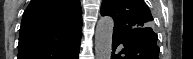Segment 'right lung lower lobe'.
Returning a JSON list of instances; mask_svg holds the SVG:
<instances>
[{
	"mask_svg": "<svg viewBox=\"0 0 193 59\" xmlns=\"http://www.w3.org/2000/svg\"><path fill=\"white\" fill-rule=\"evenodd\" d=\"M80 39L53 55L41 57L38 59H78Z\"/></svg>",
	"mask_w": 193,
	"mask_h": 59,
	"instance_id": "98d812e1",
	"label": "right lung lower lobe"
}]
</instances>
